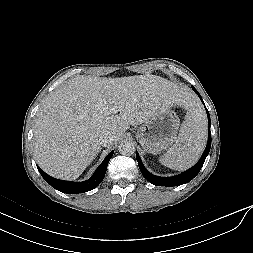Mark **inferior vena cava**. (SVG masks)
<instances>
[{
    "label": "inferior vena cava",
    "mask_w": 253,
    "mask_h": 253,
    "mask_svg": "<svg viewBox=\"0 0 253 253\" xmlns=\"http://www.w3.org/2000/svg\"><path fill=\"white\" fill-rule=\"evenodd\" d=\"M99 141L102 146H107L113 141V136L109 132H103L99 137Z\"/></svg>",
    "instance_id": "inferior-vena-cava-1"
}]
</instances>
